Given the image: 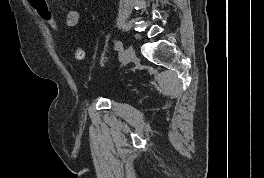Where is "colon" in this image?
Returning a JSON list of instances; mask_svg holds the SVG:
<instances>
[{"label": "colon", "instance_id": "obj_1", "mask_svg": "<svg viewBox=\"0 0 264 178\" xmlns=\"http://www.w3.org/2000/svg\"><path fill=\"white\" fill-rule=\"evenodd\" d=\"M29 5L37 12L41 19L47 23L54 30H59V23L53 11L50 9L46 0H27ZM73 56L76 60H83L85 58V51L83 48H76Z\"/></svg>", "mask_w": 264, "mask_h": 178}]
</instances>
